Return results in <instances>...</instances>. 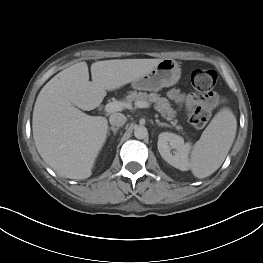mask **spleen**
Segmentation results:
<instances>
[{"label": "spleen", "mask_w": 263, "mask_h": 263, "mask_svg": "<svg viewBox=\"0 0 263 263\" xmlns=\"http://www.w3.org/2000/svg\"><path fill=\"white\" fill-rule=\"evenodd\" d=\"M236 117L229 108L220 110L195 143L189 166L197 178L214 173L223 163L236 135Z\"/></svg>", "instance_id": "1"}]
</instances>
